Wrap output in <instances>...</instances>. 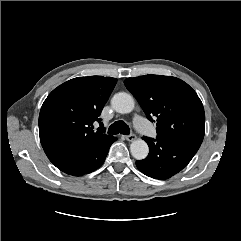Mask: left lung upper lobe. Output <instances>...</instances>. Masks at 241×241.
Listing matches in <instances>:
<instances>
[{
	"label": "left lung upper lobe",
	"instance_id": "5c2ea615",
	"mask_svg": "<svg viewBox=\"0 0 241 241\" xmlns=\"http://www.w3.org/2000/svg\"><path fill=\"white\" fill-rule=\"evenodd\" d=\"M124 83L147 118L152 121L155 117L158 137L202 143L205 133L204 108L187 83L162 75L128 78Z\"/></svg>",
	"mask_w": 241,
	"mask_h": 241
}]
</instances>
